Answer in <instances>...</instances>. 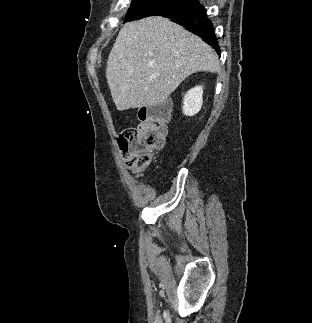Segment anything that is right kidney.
I'll return each instance as SVG.
<instances>
[{
    "label": "right kidney",
    "mask_w": 312,
    "mask_h": 323,
    "mask_svg": "<svg viewBox=\"0 0 312 323\" xmlns=\"http://www.w3.org/2000/svg\"><path fill=\"white\" fill-rule=\"evenodd\" d=\"M202 94L203 88L202 86H195V88H191L187 94L184 96L183 100V114L185 116H195L198 114L202 108Z\"/></svg>",
    "instance_id": "obj_1"
}]
</instances>
